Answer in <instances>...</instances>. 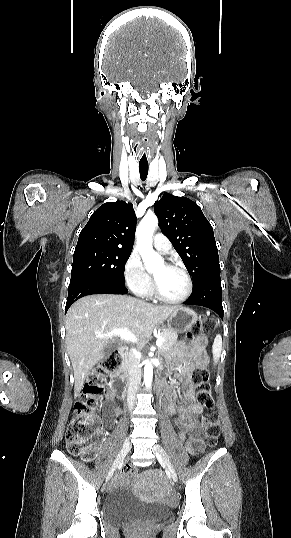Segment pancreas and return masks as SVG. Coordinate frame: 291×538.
Returning a JSON list of instances; mask_svg holds the SVG:
<instances>
[{"mask_svg":"<svg viewBox=\"0 0 291 538\" xmlns=\"http://www.w3.org/2000/svg\"><path fill=\"white\" fill-rule=\"evenodd\" d=\"M161 336L165 339L162 346L159 347L161 352H165L170 349L177 340V334L169 329H163Z\"/></svg>","mask_w":291,"mask_h":538,"instance_id":"obj_1","label":"pancreas"}]
</instances>
